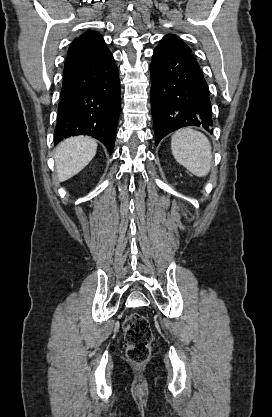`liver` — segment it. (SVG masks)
I'll use <instances>...</instances> for the list:
<instances>
[{
  "instance_id": "obj_1",
  "label": "liver",
  "mask_w": 272,
  "mask_h": 417,
  "mask_svg": "<svg viewBox=\"0 0 272 417\" xmlns=\"http://www.w3.org/2000/svg\"><path fill=\"white\" fill-rule=\"evenodd\" d=\"M97 142L84 136L71 137L61 142L55 150V167L60 182L79 173L93 159Z\"/></svg>"
}]
</instances>
